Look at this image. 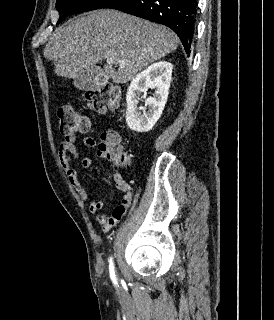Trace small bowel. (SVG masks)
<instances>
[{"mask_svg":"<svg viewBox=\"0 0 274 320\" xmlns=\"http://www.w3.org/2000/svg\"><path fill=\"white\" fill-rule=\"evenodd\" d=\"M93 119H83L82 125L85 126L80 132H87L90 126H93ZM77 136L76 134L66 135L59 145V163L61 168L66 174L69 183L76 190L77 195L84 203L88 204V209L91 213H96L104 207V202L100 199L93 198L90 200L89 189L82 183L78 172L73 168L72 164H78L82 169H88L91 166V159L89 157H83L79 159V151L76 146ZM82 144L88 148H97V155L100 158H112L113 160V180L118 190L124 192V196L121 203L116 206L113 211L108 213H100L95 216L97 223H108L110 227L115 226L121 218L125 215L128 207L133 199V189L131 185L124 179L122 170L130 166V158L119 148L113 154L100 144L97 145L96 140L93 137H83ZM116 162H121V167H116ZM110 230V229H109ZM108 230V231H109Z\"/></svg>","mask_w":274,"mask_h":320,"instance_id":"small-bowel-1","label":"small bowel"}]
</instances>
